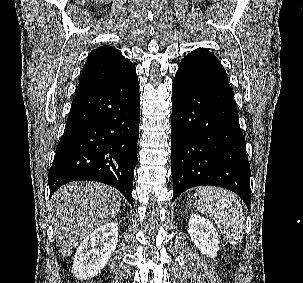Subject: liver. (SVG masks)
Wrapping results in <instances>:
<instances>
[{"instance_id": "6515ba94", "label": "liver", "mask_w": 303, "mask_h": 283, "mask_svg": "<svg viewBox=\"0 0 303 283\" xmlns=\"http://www.w3.org/2000/svg\"><path fill=\"white\" fill-rule=\"evenodd\" d=\"M50 203L59 252L68 257L86 236L116 216L121 198L110 186L86 181L59 188Z\"/></svg>"}]
</instances>
